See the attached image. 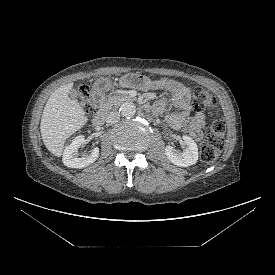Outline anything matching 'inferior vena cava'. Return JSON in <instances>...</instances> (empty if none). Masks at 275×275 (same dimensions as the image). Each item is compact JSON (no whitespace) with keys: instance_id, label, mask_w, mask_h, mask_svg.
Instances as JSON below:
<instances>
[{"instance_id":"1","label":"inferior vena cava","mask_w":275,"mask_h":275,"mask_svg":"<svg viewBox=\"0 0 275 275\" xmlns=\"http://www.w3.org/2000/svg\"><path fill=\"white\" fill-rule=\"evenodd\" d=\"M120 120V113L118 111H111L106 118L108 124L112 125Z\"/></svg>"}]
</instances>
